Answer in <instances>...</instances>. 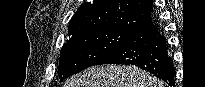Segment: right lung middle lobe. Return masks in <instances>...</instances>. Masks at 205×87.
Instances as JSON below:
<instances>
[{
  "label": "right lung middle lobe",
  "mask_w": 205,
  "mask_h": 87,
  "mask_svg": "<svg viewBox=\"0 0 205 87\" xmlns=\"http://www.w3.org/2000/svg\"><path fill=\"white\" fill-rule=\"evenodd\" d=\"M131 34L121 30H96L70 38L60 53V81L94 65Z\"/></svg>",
  "instance_id": "1"
}]
</instances>
